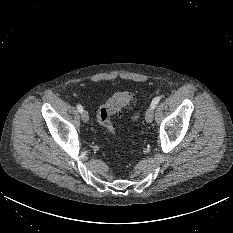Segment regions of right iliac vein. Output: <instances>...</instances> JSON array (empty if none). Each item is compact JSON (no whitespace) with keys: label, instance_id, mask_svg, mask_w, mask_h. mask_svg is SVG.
<instances>
[{"label":"right iliac vein","instance_id":"63e3f726","mask_svg":"<svg viewBox=\"0 0 233 233\" xmlns=\"http://www.w3.org/2000/svg\"><path fill=\"white\" fill-rule=\"evenodd\" d=\"M81 119L85 123L88 122V120H89V114H88V112L86 110L82 111V113H81Z\"/></svg>","mask_w":233,"mask_h":233}]
</instances>
